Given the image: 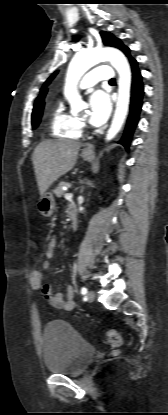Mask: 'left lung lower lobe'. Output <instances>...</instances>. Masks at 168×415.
I'll use <instances>...</instances> for the list:
<instances>
[{"instance_id":"1","label":"left lung lower lobe","mask_w":168,"mask_h":415,"mask_svg":"<svg viewBox=\"0 0 168 415\" xmlns=\"http://www.w3.org/2000/svg\"><path fill=\"white\" fill-rule=\"evenodd\" d=\"M129 62L132 70L130 114L127 120L124 136L119 141V143L122 144L127 150L129 149L130 139L139 119L144 94L142 76L138 69V62L132 57L129 58Z\"/></svg>"}]
</instances>
